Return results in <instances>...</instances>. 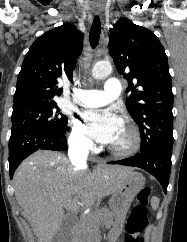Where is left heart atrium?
I'll return each mask as SVG.
<instances>
[{"label":"left heart atrium","instance_id":"obj_1","mask_svg":"<svg viewBox=\"0 0 187 242\" xmlns=\"http://www.w3.org/2000/svg\"><path fill=\"white\" fill-rule=\"evenodd\" d=\"M87 133L102 144H111L121 125L120 118L111 110H92L84 114Z\"/></svg>","mask_w":187,"mask_h":242}]
</instances>
